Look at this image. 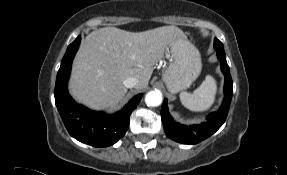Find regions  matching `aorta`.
<instances>
[{"instance_id": "1", "label": "aorta", "mask_w": 287, "mask_h": 175, "mask_svg": "<svg viewBox=\"0 0 287 175\" xmlns=\"http://www.w3.org/2000/svg\"><path fill=\"white\" fill-rule=\"evenodd\" d=\"M145 103L148 106H159L162 103V94L159 91H150L146 94Z\"/></svg>"}]
</instances>
